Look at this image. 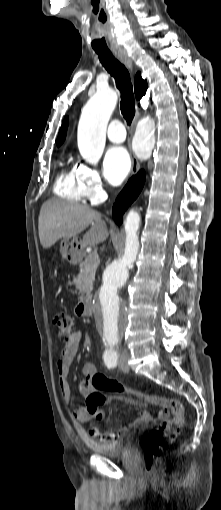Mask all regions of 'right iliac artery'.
<instances>
[{
	"label": "right iliac artery",
	"instance_id": "obj_1",
	"mask_svg": "<svg viewBox=\"0 0 221 510\" xmlns=\"http://www.w3.org/2000/svg\"><path fill=\"white\" fill-rule=\"evenodd\" d=\"M104 362L108 368H114L117 365L118 355L114 350H106L103 355Z\"/></svg>",
	"mask_w": 221,
	"mask_h": 510
}]
</instances>
